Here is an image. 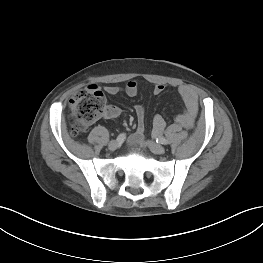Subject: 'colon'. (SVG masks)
<instances>
[{"label":"colon","mask_w":263,"mask_h":263,"mask_svg":"<svg viewBox=\"0 0 263 263\" xmlns=\"http://www.w3.org/2000/svg\"><path fill=\"white\" fill-rule=\"evenodd\" d=\"M74 124L73 130L82 133L98 118L106 109V99L97 86H90L78 91L70 100Z\"/></svg>","instance_id":"1"}]
</instances>
